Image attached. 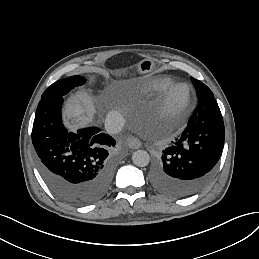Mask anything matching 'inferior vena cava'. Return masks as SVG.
Listing matches in <instances>:
<instances>
[{
    "label": "inferior vena cava",
    "mask_w": 259,
    "mask_h": 259,
    "mask_svg": "<svg viewBox=\"0 0 259 259\" xmlns=\"http://www.w3.org/2000/svg\"><path fill=\"white\" fill-rule=\"evenodd\" d=\"M125 125V119L118 112H110L106 117L105 129L108 133L115 134L122 130Z\"/></svg>",
    "instance_id": "1"
}]
</instances>
